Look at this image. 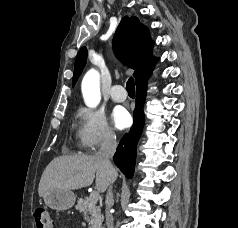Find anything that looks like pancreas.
I'll list each match as a JSON object with an SVG mask.
<instances>
[{
	"mask_svg": "<svg viewBox=\"0 0 238 228\" xmlns=\"http://www.w3.org/2000/svg\"><path fill=\"white\" fill-rule=\"evenodd\" d=\"M76 209L80 213H83L89 224V228H101L102 217L100 207L97 206V200H92L90 197L80 198Z\"/></svg>",
	"mask_w": 238,
	"mask_h": 228,
	"instance_id": "pancreas-1",
	"label": "pancreas"
}]
</instances>
